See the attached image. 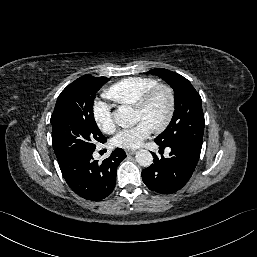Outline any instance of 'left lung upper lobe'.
<instances>
[{
    "label": "left lung upper lobe",
    "mask_w": 257,
    "mask_h": 257,
    "mask_svg": "<svg viewBox=\"0 0 257 257\" xmlns=\"http://www.w3.org/2000/svg\"><path fill=\"white\" fill-rule=\"evenodd\" d=\"M166 81L175 93V111L168 127L155 138L160 145L185 143L202 147L204 114L198 92L183 76L163 68L149 71Z\"/></svg>",
    "instance_id": "obj_1"
}]
</instances>
